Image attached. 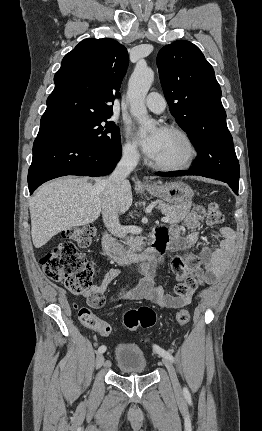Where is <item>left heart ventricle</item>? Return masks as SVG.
Returning <instances> with one entry per match:
<instances>
[{
	"label": "left heart ventricle",
	"instance_id": "b2bd125f",
	"mask_svg": "<svg viewBox=\"0 0 262 431\" xmlns=\"http://www.w3.org/2000/svg\"><path fill=\"white\" fill-rule=\"evenodd\" d=\"M185 153V142L179 136L163 131L157 153L152 160L165 164H173L181 161Z\"/></svg>",
	"mask_w": 262,
	"mask_h": 431
}]
</instances>
